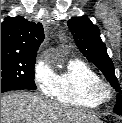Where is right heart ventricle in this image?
<instances>
[{"label":"right heart ventricle","instance_id":"e07e8e85","mask_svg":"<svg viewBox=\"0 0 122 123\" xmlns=\"http://www.w3.org/2000/svg\"><path fill=\"white\" fill-rule=\"evenodd\" d=\"M101 80L98 73L85 61L70 60L55 74L51 96L58 102L78 108H96L100 102L89 92L93 82Z\"/></svg>","mask_w":122,"mask_h":123}]
</instances>
